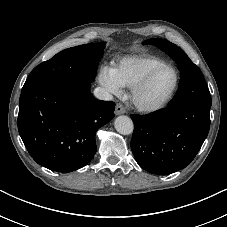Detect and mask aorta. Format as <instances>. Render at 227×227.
Returning <instances> with one entry per match:
<instances>
[{
	"mask_svg": "<svg viewBox=\"0 0 227 227\" xmlns=\"http://www.w3.org/2000/svg\"><path fill=\"white\" fill-rule=\"evenodd\" d=\"M114 127L117 132H119L122 135H129L133 132L134 125L131 118L128 116H119L114 121Z\"/></svg>",
	"mask_w": 227,
	"mask_h": 227,
	"instance_id": "762f6f07",
	"label": "aorta"
}]
</instances>
